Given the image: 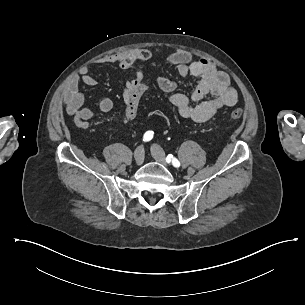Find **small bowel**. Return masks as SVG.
I'll return each instance as SVG.
<instances>
[{
  "label": "small bowel",
  "instance_id": "c3829d8e",
  "mask_svg": "<svg viewBox=\"0 0 305 305\" xmlns=\"http://www.w3.org/2000/svg\"><path fill=\"white\" fill-rule=\"evenodd\" d=\"M152 57L151 50L147 48L122 51L105 55L94 60L95 64H116L122 69L134 70V77L125 83L123 99L127 103L130 93L138 87H146L145 72L137 66V62L145 61ZM168 63L175 65L177 73L181 77L192 75L199 81L190 96L176 93V82L166 77H158L159 88L167 93L170 103L176 108L180 116L197 123L211 119L220 109L236 104L238 94L231 85L228 75L217 70L206 58L192 61V55L186 50H176L167 58ZM90 88L98 85L91 75L89 68H83L79 77H73L67 86L65 93L66 113L73 117L74 123L81 129H88L90 121L97 115L95 110L82 108L85 95L79 90V81ZM210 97L203 100L204 97ZM113 108V101L104 97L100 100L99 110L108 113Z\"/></svg>",
  "mask_w": 305,
  "mask_h": 305
}]
</instances>
